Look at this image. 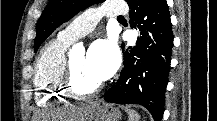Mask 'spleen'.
Here are the masks:
<instances>
[{
	"instance_id": "obj_1",
	"label": "spleen",
	"mask_w": 217,
	"mask_h": 121,
	"mask_svg": "<svg viewBox=\"0 0 217 121\" xmlns=\"http://www.w3.org/2000/svg\"><path fill=\"white\" fill-rule=\"evenodd\" d=\"M129 121H139V114L134 110H128Z\"/></svg>"
}]
</instances>
